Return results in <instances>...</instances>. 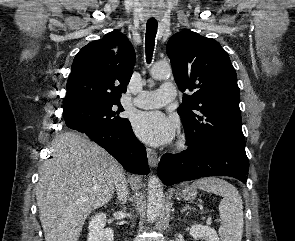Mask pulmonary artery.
I'll use <instances>...</instances> for the list:
<instances>
[{"label": "pulmonary artery", "instance_id": "obj_1", "mask_svg": "<svg viewBox=\"0 0 295 241\" xmlns=\"http://www.w3.org/2000/svg\"><path fill=\"white\" fill-rule=\"evenodd\" d=\"M176 88L172 83H164L158 90L142 91L134 99L133 104L139 108H159L175 99Z\"/></svg>", "mask_w": 295, "mask_h": 241}]
</instances>
